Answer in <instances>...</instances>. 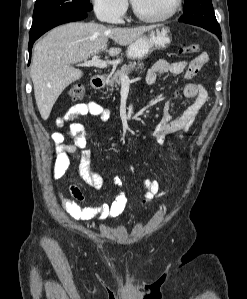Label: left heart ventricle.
<instances>
[{"label":"left heart ventricle","instance_id":"b2bd125f","mask_svg":"<svg viewBox=\"0 0 247 299\" xmlns=\"http://www.w3.org/2000/svg\"><path fill=\"white\" fill-rule=\"evenodd\" d=\"M140 12L148 16L162 15L169 11L174 0H133Z\"/></svg>","mask_w":247,"mask_h":299}]
</instances>
